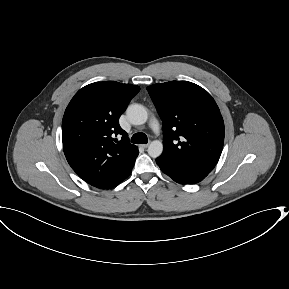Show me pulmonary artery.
<instances>
[{"mask_svg":"<svg viewBox=\"0 0 289 289\" xmlns=\"http://www.w3.org/2000/svg\"><path fill=\"white\" fill-rule=\"evenodd\" d=\"M150 126H151V129L156 133L158 134L160 132V126H159V122L156 118H152L151 121H150Z\"/></svg>","mask_w":289,"mask_h":289,"instance_id":"1","label":"pulmonary artery"}]
</instances>
